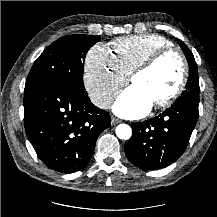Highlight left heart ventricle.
I'll use <instances>...</instances> for the list:
<instances>
[{"label":"left heart ventricle","mask_w":217,"mask_h":217,"mask_svg":"<svg viewBox=\"0 0 217 217\" xmlns=\"http://www.w3.org/2000/svg\"><path fill=\"white\" fill-rule=\"evenodd\" d=\"M180 72L178 59L170 56L150 71L136 75L132 84L139 87L154 104L174 91L179 81Z\"/></svg>","instance_id":"b2bd125f"}]
</instances>
